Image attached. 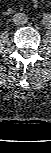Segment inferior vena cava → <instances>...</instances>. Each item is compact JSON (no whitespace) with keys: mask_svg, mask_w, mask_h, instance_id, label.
Instances as JSON below:
<instances>
[{"mask_svg":"<svg viewBox=\"0 0 51 153\" xmlns=\"http://www.w3.org/2000/svg\"><path fill=\"white\" fill-rule=\"evenodd\" d=\"M12 20L15 25H24L28 22V17L24 13H16Z\"/></svg>","mask_w":51,"mask_h":153,"instance_id":"1","label":"inferior vena cava"}]
</instances>
